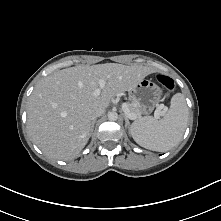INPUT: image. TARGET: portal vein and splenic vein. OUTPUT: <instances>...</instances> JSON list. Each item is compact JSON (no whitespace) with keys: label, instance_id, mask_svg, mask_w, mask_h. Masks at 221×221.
Listing matches in <instances>:
<instances>
[{"label":"portal vein and splenic vein","instance_id":"1","mask_svg":"<svg viewBox=\"0 0 221 221\" xmlns=\"http://www.w3.org/2000/svg\"><path fill=\"white\" fill-rule=\"evenodd\" d=\"M105 84H106V82H105L103 79L99 80V88H97L96 90H94L93 95H94V96H99L100 93H101V90L105 87ZM163 108H164V105H159V106L157 107V109H156L155 112H154L155 118H157V119L160 118V116H161V110H162ZM122 110H123V112L125 113V115H126L128 118H130L131 120H135V119L138 118V116H137L136 114L130 112V110H129V108H128V105H127L126 103H123V104H122Z\"/></svg>","mask_w":221,"mask_h":221}]
</instances>
